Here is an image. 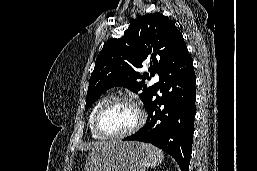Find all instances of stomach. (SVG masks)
<instances>
[{
  "label": "stomach",
  "mask_w": 257,
  "mask_h": 171,
  "mask_svg": "<svg viewBox=\"0 0 257 171\" xmlns=\"http://www.w3.org/2000/svg\"><path fill=\"white\" fill-rule=\"evenodd\" d=\"M149 153L138 142H112L88 157L84 171H146Z\"/></svg>",
  "instance_id": "0dacf381"
}]
</instances>
